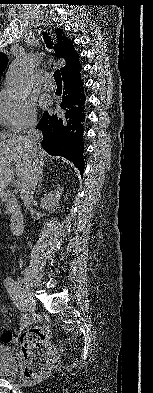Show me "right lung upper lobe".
Instances as JSON below:
<instances>
[{"instance_id": "1", "label": "right lung upper lobe", "mask_w": 153, "mask_h": 393, "mask_svg": "<svg viewBox=\"0 0 153 393\" xmlns=\"http://www.w3.org/2000/svg\"><path fill=\"white\" fill-rule=\"evenodd\" d=\"M58 43L55 47L56 56L66 61L65 67L61 68L62 77L73 73L81 68L79 63V55L74 50L73 42L63 35L62 29H56ZM8 57L4 53H0V76L6 68Z\"/></svg>"}]
</instances>
